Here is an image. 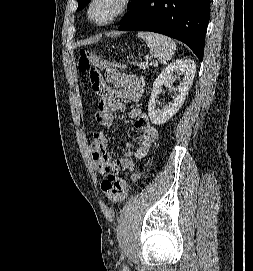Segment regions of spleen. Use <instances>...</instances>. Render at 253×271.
I'll return each instance as SVG.
<instances>
[{
  "label": "spleen",
  "mask_w": 253,
  "mask_h": 271,
  "mask_svg": "<svg viewBox=\"0 0 253 271\" xmlns=\"http://www.w3.org/2000/svg\"><path fill=\"white\" fill-rule=\"evenodd\" d=\"M138 37L146 42L150 53L156 57L161 64H166L173 57L176 44L171 38L152 32H139Z\"/></svg>",
  "instance_id": "spleen-1"
}]
</instances>
